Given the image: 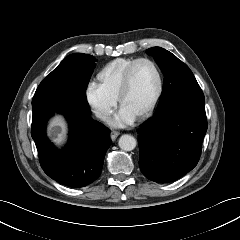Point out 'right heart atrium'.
Segmentation results:
<instances>
[{
    "label": "right heart atrium",
    "mask_w": 240,
    "mask_h": 240,
    "mask_svg": "<svg viewBox=\"0 0 240 240\" xmlns=\"http://www.w3.org/2000/svg\"><path fill=\"white\" fill-rule=\"evenodd\" d=\"M86 101L95 115L105 120L111 114L117 100L108 95L98 84L89 83L85 91Z\"/></svg>",
    "instance_id": "d8ad5b80"
}]
</instances>
